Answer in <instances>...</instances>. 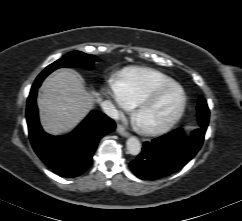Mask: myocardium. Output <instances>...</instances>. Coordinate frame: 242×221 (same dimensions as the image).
<instances>
[{
	"label": "myocardium",
	"mask_w": 242,
	"mask_h": 221,
	"mask_svg": "<svg viewBox=\"0 0 242 221\" xmlns=\"http://www.w3.org/2000/svg\"><path fill=\"white\" fill-rule=\"evenodd\" d=\"M178 91L180 93V103L173 114L161 124L155 126H142L139 123V117L154 106L165 94L170 91ZM187 104V96L181 85L174 83L168 86L161 87L153 92L150 96L141 101L133 112V119L141 129V131L148 135H157L169 130L182 116Z\"/></svg>",
	"instance_id": "myocardium-1"
}]
</instances>
